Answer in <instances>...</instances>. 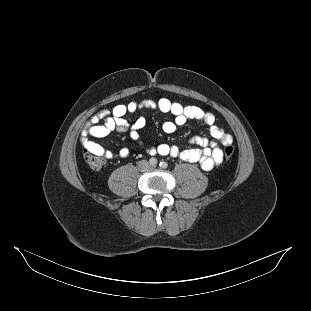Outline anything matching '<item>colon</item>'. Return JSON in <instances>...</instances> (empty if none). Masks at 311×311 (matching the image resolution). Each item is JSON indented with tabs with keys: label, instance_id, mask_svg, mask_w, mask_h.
Here are the masks:
<instances>
[{
	"label": "colon",
	"instance_id": "obj_1",
	"mask_svg": "<svg viewBox=\"0 0 311 311\" xmlns=\"http://www.w3.org/2000/svg\"><path fill=\"white\" fill-rule=\"evenodd\" d=\"M233 154H234V147L232 145H227L224 148V158L226 160H229L232 158ZM84 158L87 164L92 169H95V170L101 169L105 164V159L103 155L89 151V150L84 151Z\"/></svg>",
	"mask_w": 311,
	"mask_h": 311
}]
</instances>
